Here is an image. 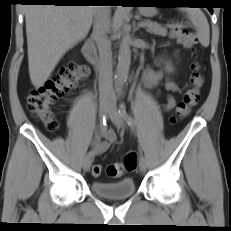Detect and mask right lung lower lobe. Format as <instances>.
Here are the masks:
<instances>
[{"label":"right lung lower lobe","mask_w":231,"mask_h":231,"mask_svg":"<svg viewBox=\"0 0 231 231\" xmlns=\"http://www.w3.org/2000/svg\"><path fill=\"white\" fill-rule=\"evenodd\" d=\"M79 0H22L26 3H49L54 5H81ZM22 4V3H21Z\"/></svg>","instance_id":"98d812e1"}]
</instances>
